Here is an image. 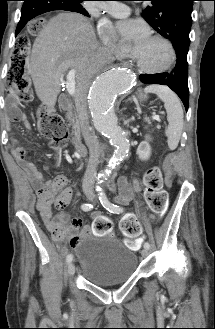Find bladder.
Segmentation results:
<instances>
[{
    "instance_id": "obj_1",
    "label": "bladder",
    "mask_w": 215,
    "mask_h": 329,
    "mask_svg": "<svg viewBox=\"0 0 215 329\" xmlns=\"http://www.w3.org/2000/svg\"><path fill=\"white\" fill-rule=\"evenodd\" d=\"M79 276L93 285L107 286L131 279L137 255L115 237L88 236L76 246Z\"/></svg>"
}]
</instances>
